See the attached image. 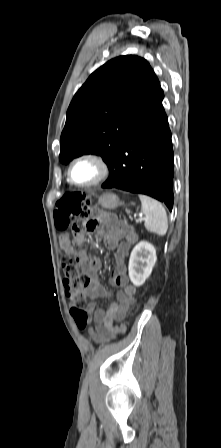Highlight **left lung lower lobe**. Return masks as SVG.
Masks as SVG:
<instances>
[{"mask_svg":"<svg viewBox=\"0 0 221 448\" xmlns=\"http://www.w3.org/2000/svg\"><path fill=\"white\" fill-rule=\"evenodd\" d=\"M157 99L119 144L103 188L149 195L173 207V150L162 100Z\"/></svg>","mask_w":221,"mask_h":448,"instance_id":"1","label":"left lung lower lobe"}]
</instances>
